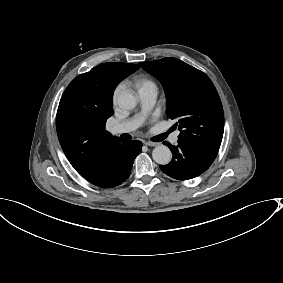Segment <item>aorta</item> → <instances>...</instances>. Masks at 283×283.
Here are the masks:
<instances>
[{
	"mask_svg": "<svg viewBox=\"0 0 283 283\" xmlns=\"http://www.w3.org/2000/svg\"><path fill=\"white\" fill-rule=\"evenodd\" d=\"M120 108L125 110H132L136 106V98L133 94L124 91L121 92L117 99ZM153 160L161 165H166L171 161L172 153L165 145H159L152 151Z\"/></svg>",
	"mask_w": 283,
	"mask_h": 283,
	"instance_id": "1",
	"label": "aorta"
}]
</instances>
